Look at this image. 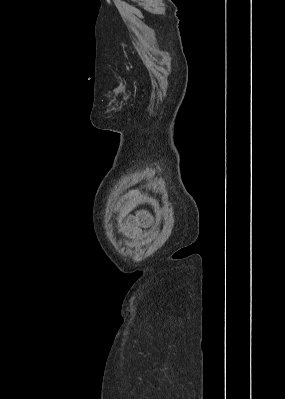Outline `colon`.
<instances>
[{
  "label": "colon",
  "mask_w": 285,
  "mask_h": 399,
  "mask_svg": "<svg viewBox=\"0 0 285 399\" xmlns=\"http://www.w3.org/2000/svg\"><path fill=\"white\" fill-rule=\"evenodd\" d=\"M153 224L154 218L151 215L145 212H138L124 217L119 222L118 231L122 234L137 237Z\"/></svg>",
  "instance_id": "5ec220e1"
}]
</instances>
